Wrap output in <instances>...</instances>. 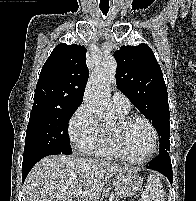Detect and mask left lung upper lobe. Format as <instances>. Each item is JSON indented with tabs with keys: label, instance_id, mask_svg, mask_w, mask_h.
<instances>
[{
	"label": "left lung upper lobe",
	"instance_id": "5c2ea615",
	"mask_svg": "<svg viewBox=\"0 0 196 201\" xmlns=\"http://www.w3.org/2000/svg\"><path fill=\"white\" fill-rule=\"evenodd\" d=\"M116 83L139 111L152 121L160 142L159 153L170 150L168 93L161 68L147 44L122 46L114 53Z\"/></svg>",
	"mask_w": 196,
	"mask_h": 201
}]
</instances>
